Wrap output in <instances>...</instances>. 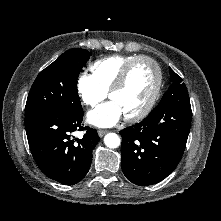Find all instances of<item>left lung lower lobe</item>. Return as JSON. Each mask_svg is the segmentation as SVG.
<instances>
[{"instance_id": "left-lung-lower-lobe-1", "label": "left lung lower lobe", "mask_w": 221, "mask_h": 221, "mask_svg": "<svg viewBox=\"0 0 221 221\" xmlns=\"http://www.w3.org/2000/svg\"><path fill=\"white\" fill-rule=\"evenodd\" d=\"M188 94L165 93L140 123L120 131L122 171L136 185L160 182L177 167L191 126Z\"/></svg>"}]
</instances>
